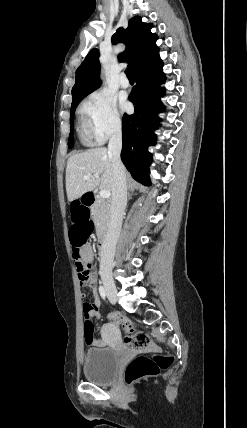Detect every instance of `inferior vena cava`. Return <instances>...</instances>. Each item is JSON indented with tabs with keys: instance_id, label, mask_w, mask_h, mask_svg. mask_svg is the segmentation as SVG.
<instances>
[{
	"instance_id": "inferior-vena-cava-1",
	"label": "inferior vena cava",
	"mask_w": 247,
	"mask_h": 428,
	"mask_svg": "<svg viewBox=\"0 0 247 428\" xmlns=\"http://www.w3.org/2000/svg\"><path fill=\"white\" fill-rule=\"evenodd\" d=\"M122 149L121 124H116L108 144V152L112 156L114 186L107 233L101 247V269H111L115 255L116 244L120 235L124 211L127 204L126 171L121 161Z\"/></svg>"
}]
</instances>
